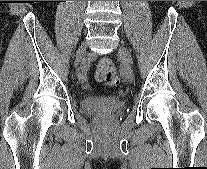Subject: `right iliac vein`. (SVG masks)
<instances>
[{"instance_id": "63e3f726", "label": "right iliac vein", "mask_w": 207, "mask_h": 169, "mask_svg": "<svg viewBox=\"0 0 207 169\" xmlns=\"http://www.w3.org/2000/svg\"><path fill=\"white\" fill-rule=\"evenodd\" d=\"M85 52H86V44L83 43V44L78 48L77 53H76V58H75V62H74V67H75V68L78 67V65H79V63H80L82 57L84 56ZM85 80H86V78H83V79H81L80 81H85Z\"/></svg>"}]
</instances>
